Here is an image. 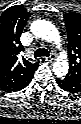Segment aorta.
Segmentation results:
<instances>
[{"instance_id":"aorta-1","label":"aorta","mask_w":81,"mask_h":124,"mask_svg":"<svg viewBox=\"0 0 81 124\" xmlns=\"http://www.w3.org/2000/svg\"><path fill=\"white\" fill-rule=\"evenodd\" d=\"M31 32L38 38L54 42L60 47L61 39L57 28L49 21L36 20L31 24ZM69 64L67 55L61 54L53 65V72L58 77H64L68 73Z\"/></svg>"}]
</instances>
